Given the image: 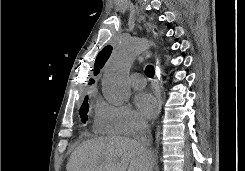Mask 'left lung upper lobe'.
I'll list each match as a JSON object with an SVG mask.
<instances>
[{
    "label": "left lung upper lobe",
    "mask_w": 245,
    "mask_h": 171,
    "mask_svg": "<svg viewBox=\"0 0 245 171\" xmlns=\"http://www.w3.org/2000/svg\"><path fill=\"white\" fill-rule=\"evenodd\" d=\"M112 52L111 46H106L99 54L97 55L95 66H94V74L97 75L99 70L103 67L105 62L108 60L110 54Z\"/></svg>",
    "instance_id": "obj_1"
}]
</instances>
